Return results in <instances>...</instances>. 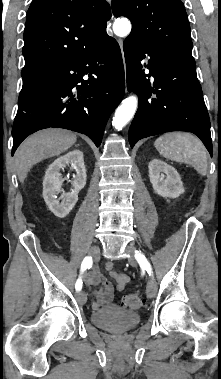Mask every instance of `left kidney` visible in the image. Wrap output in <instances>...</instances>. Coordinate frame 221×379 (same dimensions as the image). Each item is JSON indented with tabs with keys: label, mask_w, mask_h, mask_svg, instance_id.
<instances>
[{
	"label": "left kidney",
	"mask_w": 221,
	"mask_h": 379,
	"mask_svg": "<svg viewBox=\"0 0 221 379\" xmlns=\"http://www.w3.org/2000/svg\"><path fill=\"white\" fill-rule=\"evenodd\" d=\"M149 178L154 191L164 198H177L184 193L177 170L167 163L153 159L149 163Z\"/></svg>",
	"instance_id": "obj_1"
}]
</instances>
